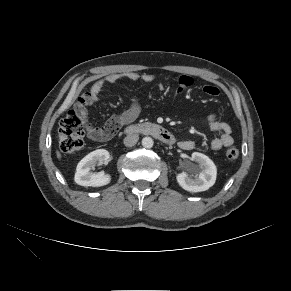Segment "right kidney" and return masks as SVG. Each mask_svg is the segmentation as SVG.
I'll return each instance as SVG.
<instances>
[{"instance_id": "1", "label": "right kidney", "mask_w": 291, "mask_h": 291, "mask_svg": "<svg viewBox=\"0 0 291 291\" xmlns=\"http://www.w3.org/2000/svg\"><path fill=\"white\" fill-rule=\"evenodd\" d=\"M109 152L105 149L95 150L86 155L77 165L75 173V182L81 186L99 187L108 184L111 176L104 171L92 173L91 169L97 163H108Z\"/></svg>"}]
</instances>
